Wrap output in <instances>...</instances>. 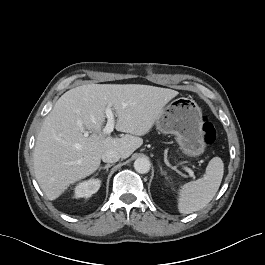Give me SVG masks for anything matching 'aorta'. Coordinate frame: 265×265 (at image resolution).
Wrapping results in <instances>:
<instances>
[{
	"instance_id": "762f6f07",
	"label": "aorta",
	"mask_w": 265,
	"mask_h": 265,
	"mask_svg": "<svg viewBox=\"0 0 265 265\" xmlns=\"http://www.w3.org/2000/svg\"><path fill=\"white\" fill-rule=\"evenodd\" d=\"M150 161L146 157L137 158L134 162V169L140 174L148 173L150 170Z\"/></svg>"
}]
</instances>
